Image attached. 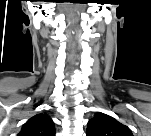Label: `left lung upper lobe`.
<instances>
[{"mask_svg":"<svg viewBox=\"0 0 151 136\" xmlns=\"http://www.w3.org/2000/svg\"><path fill=\"white\" fill-rule=\"evenodd\" d=\"M86 136H132V133L113 117L100 113L88 122Z\"/></svg>","mask_w":151,"mask_h":136,"instance_id":"5c2ea615","label":"left lung upper lobe"}]
</instances>
